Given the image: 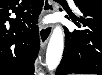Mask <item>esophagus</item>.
<instances>
[{"label": "esophagus", "instance_id": "esophagus-1", "mask_svg": "<svg viewBox=\"0 0 102 75\" xmlns=\"http://www.w3.org/2000/svg\"><path fill=\"white\" fill-rule=\"evenodd\" d=\"M54 10H55V5H54L53 1L52 0H44L42 14L51 13V12H54ZM52 30H53L52 25L40 26L39 37H40V42H41L42 47H44L47 44V42L52 34Z\"/></svg>", "mask_w": 102, "mask_h": 75}]
</instances>
